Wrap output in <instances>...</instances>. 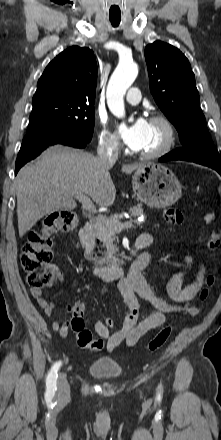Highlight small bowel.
Returning <instances> with one entry per match:
<instances>
[{"label": "small bowel", "mask_w": 221, "mask_h": 440, "mask_svg": "<svg viewBox=\"0 0 221 440\" xmlns=\"http://www.w3.org/2000/svg\"><path fill=\"white\" fill-rule=\"evenodd\" d=\"M152 243V236L148 233H143L137 240V244H143L142 248L150 246ZM143 258H149L150 253H142L132 264L128 274L120 278L116 287L121 295L125 307L127 309L126 317L123 321L122 327L112 332L107 329L102 321L95 323V331L100 338L106 341L108 351H114L122 343L126 346L135 345L147 332L158 328L166 322V317L170 313L179 311L183 307H187L189 302L195 297L200 290L205 268L202 264L198 266V274L195 280L189 284H184V277L187 271L191 268L192 259L186 257L183 267L172 275L167 284V292L173 303L168 302L158 297L151 285L145 277L135 269V263ZM30 294L36 301L37 305L42 308L44 314L48 317L54 313V304L42 296L38 289L30 288ZM138 297L144 299L154 307V311L147 314L140 319V304ZM74 305L66 306V313L72 316ZM199 308L189 307L191 315L197 314ZM54 331L64 338L68 335L70 320L66 319L63 322L54 320L51 323Z\"/></svg>", "instance_id": "1"}]
</instances>
